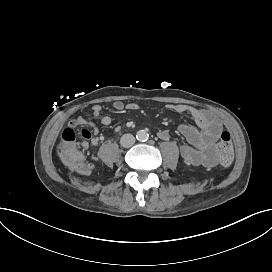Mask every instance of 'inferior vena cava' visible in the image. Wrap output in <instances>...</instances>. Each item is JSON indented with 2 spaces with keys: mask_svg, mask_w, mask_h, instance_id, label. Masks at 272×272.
<instances>
[{
  "mask_svg": "<svg viewBox=\"0 0 272 272\" xmlns=\"http://www.w3.org/2000/svg\"><path fill=\"white\" fill-rule=\"evenodd\" d=\"M134 143H135V137L130 133L124 134L120 139L121 146L125 148H129L133 146Z\"/></svg>",
  "mask_w": 272,
  "mask_h": 272,
  "instance_id": "inferior-vena-cava-1",
  "label": "inferior vena cava"
}]
</instances>
